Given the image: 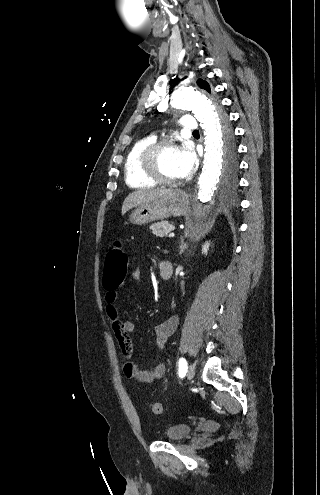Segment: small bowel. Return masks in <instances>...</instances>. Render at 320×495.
<instances>
[{
  "instance_id": "c3829d8e",
  "label": "small bowel",
  "mask_w": 320,
  "mask_h": 495,
  "mask_svg": "<svg viewBox=\"0 0 320 495\" xmlns=\"http://www.w3.org/2000/svg\"><path fill=\"white\" fill-rule=\"evenodd\" d=\"M132 276L138 280L140 277L139 271L134 270ZM123 287L124 282L112 289L105 287L106 315L116 336L121 352L124 355L123 369L126 376L133 378L140 383H152L153 381L163 377L166 368L163 363H159L151 370H143L134 363L132 357L133 344L131 336L135 333V325L131 321H123L120 319L118 309L115 304L117 300V293ZM178 320L177 315H172L167 320L155 326L154 335L156 344L162 350H165L167 339L175 332L178 326Z\"/></svg>"
}]
</instances>
